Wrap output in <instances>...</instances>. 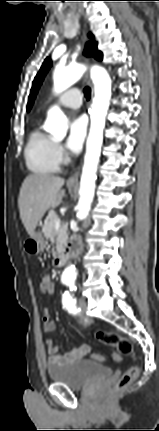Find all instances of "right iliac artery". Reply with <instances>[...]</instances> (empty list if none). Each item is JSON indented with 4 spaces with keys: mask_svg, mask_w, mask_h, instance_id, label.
I'll use <instances>...</instances> for the list:
<instances>
[{
    "mask_svg": "<svg viewBox=\"0 0 159 431\" xmlns=\"http://www.w3.org/2000/svg\"><path fill=\"white\" fill-rule=\"evenodd\" d=\"M74 288V284L73 283H71L70 284V289H73Z\"/></svg>",
    "mask_w": 159,
    "mask_h": 431,
    "instance_id": "right-iliac-artery-1",
    "label": "right iliac artery"
}]
</instances>
